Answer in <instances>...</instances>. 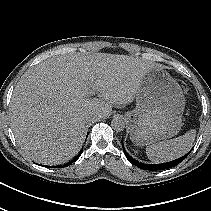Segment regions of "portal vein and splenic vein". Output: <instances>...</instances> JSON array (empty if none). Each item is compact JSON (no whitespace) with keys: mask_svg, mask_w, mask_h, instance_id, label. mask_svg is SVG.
Listing matches in <instances>:
<instances>
[{"mask_svg":"<svg viewBox=\"0 0 211 211\" xmlns=\"http://www.w3.org/2000/svg\"><path fill=\"white\" fill-rule=\"evenodd\" d=\"M92 94V91H88L87 95L90 96Z\"/></svg>","mask_w":211,"mask_h":211,"instance_id":"portal-vein-and-splenic-vein-1","label":"portal vein and splenic vein"}]
</instances>
